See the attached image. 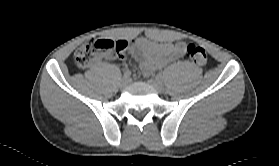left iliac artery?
I'll return each instance as SVG.
<instances>
[{
  "label": "left iliac artery",
  "mask_w": 279,
  "mask_h": 166,
  "mask_svg": "<svg viewBox=\"0 0 279 166\" xmlns=\"http://www.w3.org/2000/svg\"><path fill=\"white\" fill-rule=\"evenodd\" d=\"M156 78H158V79H161V80H162V79H163V75H162V74H158Z\"/></svg>",
  "instance_id": "44dca946"
}]
</instances>
